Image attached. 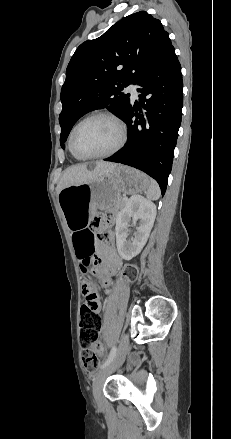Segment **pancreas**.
I'll return each instance as SVG.
<instances>
[{"label": "pancreas", "instance_id": "cf45deb5", "mask_svg": "<svg viewBox=\"0 0 231 439\" xmlns=\"http://www.w3.org/2000/svg\"><path fill=\"white\" fill-rule=\"evenodd\" d=\"M126 203V200L124 198L120 197L116 200V206L117 208H122Z\"/></svg>", "mask_w": 231, "mask_h": 439}]
</instances>
